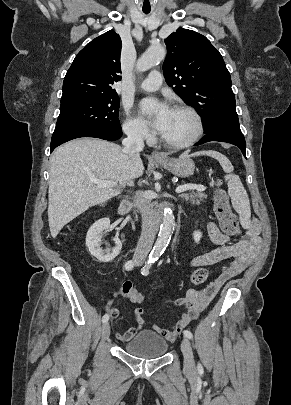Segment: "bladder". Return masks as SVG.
I'll return each instance as SVG.
<instances>
[{
    "label": "bladder",
    "instance_id": "1",
    "mask_svg": "<svg viewBox=\"0 0 291 405\" xmlns=\"http://www.w3.org/2000/svg\"><path fill=\"white\" fill-rule=\"evenodd\" d=\"M168 349V342L159 334L143 330L128 340L123 350L133 356L153 359L163 356Z\"/></svg>",
    "mask_w": 291,
    "mask_h": 405
}]
</instances>
